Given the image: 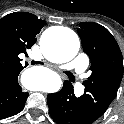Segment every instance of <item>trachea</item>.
Listing matches in <instances>:
<instances>
[{
    "mask_svg": "<svg viewBox=\"0 0 124 124\" xmlns=\"http://www.w3.org/2000/svg\"><path fill=\"white\" fill-rule=\"evenodd\" d=\"M32 64H36V63L33 62ZM66 74H67V76L69 77V79H70L72 82L75 81L74 76H73V74H72L71 72L67 71Z\"/></svg>",
    "mask_w": 124,
    "mask_h": 124,
    "instance_id": "obj_1",
    "label": "trachea"
}]
</instances>
